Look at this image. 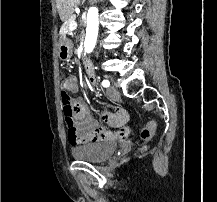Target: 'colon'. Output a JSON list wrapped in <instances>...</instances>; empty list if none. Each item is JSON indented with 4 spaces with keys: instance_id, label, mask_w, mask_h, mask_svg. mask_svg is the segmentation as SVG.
I'll list each match as a JSON object with an SVG mask.
<instances>
[{
    "instance_id": "1",
    "label": "colon",
    "mask_w": 217,
    "mask_h": 202,
    "mask_svg": "<svg viewBox=\"0 0 217 202\" xmlns=\"http://www.w3.org/2000/svg\"><path fill=\"white\" fill-rule=\"evenodd\" d=\"M74 85H75V80L71 78H64L60 82L61 102L63 106L64 122L67 131H77L74 124L72 109L70 106L71 97L69 93V91L73 89ZM153 128H156L155 121H149L148 127L143 128V131H141L140 134L144 139V141H151L152 139L151 137L155 133Z\"/></svg>"
}]
</instances>
